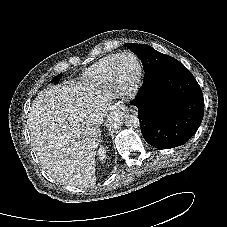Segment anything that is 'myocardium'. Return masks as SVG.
<instances>
[{"instance_id": "obj_1", "label": "myocardium", "mask_w": 227, "mask_h": 227, "mask_svg": "<svg viewBox=\"0 0 227 227\" xmlns=\"http://www.w3.org/2000/svg\"><path fill=\"white\" fill-rule=\"evenodd\" d=\"M130 56L136 61L137 69L136 73L133 76L132 79L129 81H124L122 77L120 76L119 69H120V64L123 58ZM142 73H143V66L140 58L133 52H124L119 55L118 59L116 60L113 68H112V78L111 81H113L115 84L119 85L122 87V89L126 91H134L140 84L141 78H142Z\"/></svg>"}]
</instances>
